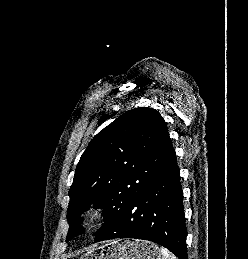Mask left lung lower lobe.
<instances>
[{"instance_id":"left-lung-lower-lobe-1","label":"left lung lower lobe","mask_w":248,"mask_h":259,"mask_svg":"<svg viewBox=\"0 0 248 259\" xmlns=\"http://www.w3.org/2000/svg\"><path fill=\"white\" fill-rule=\"evenodd\" d=\"M114 238L152 241L179 259H188L183 191L176 158L114 223L96 235L94 241Z\"/></svg>"}]
</instances>
